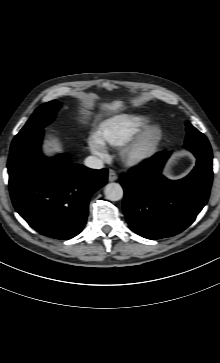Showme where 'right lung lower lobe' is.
<instances>
[{"label": "right lung lower lobe", "mask_w": 220, "mask_h": 363, "mask_svg": "<svg viewBox=\"0 0 220 363\" xmlns=\"http://www.w3.org/2000/svg\"><path fill=\"white\" fill-rule=\"evenodd\" d=\"M43 130L11 146L8 159L9 189L16 211L39 233L70 239L87 219L92 194L107 182L108 170L72 164L60 155L42 156Z\"/></svg>", "instance_id": "1"}]
</instances>
